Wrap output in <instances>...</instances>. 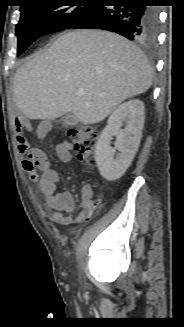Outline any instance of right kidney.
<instances>
[{
    "instance_id": "obj_1",
    "label": "right kidney",
    "mask_w": 184,
    "mask_h": 327,
    "mask_svg": "<svg viewBox=\"0 0 184 327\" xmlns=\"http://www.w3.org/2000/svg\"><path fill=\"white\" fill-rule=\"evenodd\" d=\"M144 119V104L139 99L119 105L110 115L95 150V161L105 179L120 178L130 166L140 144ZM123 123L126 126L121 129ZM113 136H116L114 149L110 146Z\"/></svg>"
}]
</instances>
